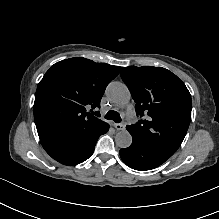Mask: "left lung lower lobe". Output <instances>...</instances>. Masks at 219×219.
Segmentation results:
<instances>
[{"label":"left lung lower lobe","mask_w":219,"mask_h":219,"mask_svg":"<svg viewBox=\"0 0 219 219\" xmlns=\"http://www.w3.org/2000/svg\"><path fill=\"white\" fill-rule=\"evenodd\" d=\"M132 144L120 150V156L127 166L139 171L154 169L163 164L169 157L158 150L144 145L132 137Z\"/></svg>","instance_id":"0a47b994"}]
</instances>
